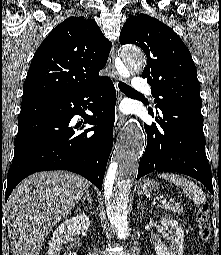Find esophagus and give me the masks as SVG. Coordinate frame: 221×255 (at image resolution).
Instances as JSON below:
<instances>
[{
    "label": "esophagus",
    "instance_id": "esophagus-1",
    "mask_svg": "<svg viewBox=\"0 0 221 255\" xmlns=\"http://www.w3.org/2000/svg\"><path fill=\"white\" fill-rule=\"evenodd\" d=\"M114 61H115V46L113 45L109 54V58H108V69L110 72V75L114 81L115 87H116V91H117V99L118 102L121 100V94H120V90L118 88V82L121 80V78L119 77L116 69H115V65H114ZM124 116L119 112V110H116V115H115V131L117 132L121 126L124 123Z\"/></svg>",
    "mask_w": 221,
    "mask_h": 255
}]
</instances>
